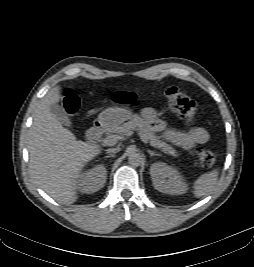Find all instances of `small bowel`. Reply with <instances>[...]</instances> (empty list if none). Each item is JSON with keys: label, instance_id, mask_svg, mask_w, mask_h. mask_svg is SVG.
<instances>
[{"label": "small bowel", "instance_id": "c3829d8e", "mask_svg": "<svg viewBox=\"0 0 254 267\" xmlns=\"http://www.w3.org/2000/svg\"><path fill=\"white\" fill-rule=\"evenodd\" d=\"M142 115L155 131L161 132L165 139L184 149H192L195 145L205 144L209 140L208 131L202 127H193L188 131L167 127L153 108H144Z\"/></svg>", "mask_w": 254, "mask_h": 267}]
</instances>
